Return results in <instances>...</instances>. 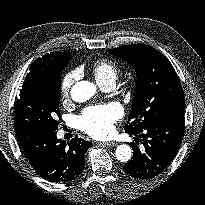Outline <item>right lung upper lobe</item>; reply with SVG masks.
<instances>
[{
	"label": "right lung upper lobe",
	"instance_id": "cb5924a9",
	"mask_svg": "<svg viewBox=\"0 0 205 205\" xmlns=\"http://www.w3.org/2000/svg\"><path fill=\"white\" fill-rule=\"evenodd\" d=\"M71 55L68 52H51L36 59L30 66L26 77L49 73L69 62Z\"/></svg>",
	"mask_w": 205,
	"mask_h": 205
}]
</instances>
